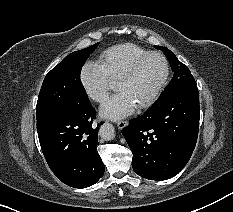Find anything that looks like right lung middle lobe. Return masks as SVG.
I'll return each instance as SVG.
<instances>
[{
  "mask_svg": "<svg viewBox=\"0 0 233 212\" xmlns=\"http://www.w3.org/2000/svg\"><path fill=\"white\" fill-rule=\"evenodd\" d=\"M98 44L69 54L46 75L36 106L37 128L64 112L91 104L81 83L80 72Z\"/></svg>",
  "mask_w": 233,
  "mask_h": 212,
  "instance_id": "obj_1",
  "label": "right lung middle lobe"
}]
</instances>
